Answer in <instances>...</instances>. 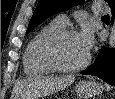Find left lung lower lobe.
Segmentation results:
<instances>
[{
	"mask_svg": "<svg viewBox=\"0 0 115 99\" xmlns=\"http://www.w3.org/2000/svg\"><path fill=\"white\" fill-rule=\"evenodd\" d=\"M112 22L115 17V3L111 6ZM80 74L93 75L103 79L110 85L115 86V49L107 51L101 48L95 62Z\"/></svg>",
	"mask_w": 115,
	"mask_h": 99,
	"instance_id": "1",
	"label": "left lung lower lobe"
}]
</instances>
